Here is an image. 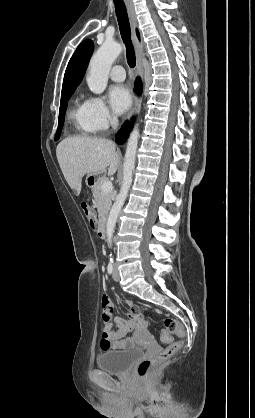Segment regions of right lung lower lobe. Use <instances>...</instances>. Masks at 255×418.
Returning <instances> with one entry per match:
<instances>
[{
    "instance_id": "1",
    "label": "right lung lower lobe",
    "mask_w": 255,
    "mask_h": 418,
    "mask_svg": "<svg viewBox=\"0 0 255 418\" xmlns=\"http://www.w3.org/2000/svg\"><path fill=\"white\" fill-rule=\"evenodd\" d=\"M142 89V84L140 80H137L135 83V90L136 92L140 93ZM131 123L126 122L122 128L119 130L118 134L116 135V141L117 143H123L126 140V137H128V133L130 131Z\"/></svg>"
}]
</instances>
